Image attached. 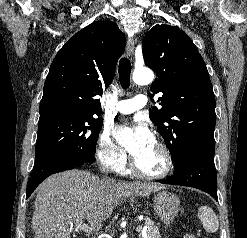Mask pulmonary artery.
I'll return each instance as SVG.
<instances>
[{
  "mask_svg": "<svg viewBox=\"0 0 247 238\" xmlns=\"http://www.w3.org/2000/svg\"><path fill=\"white\" fill-rule=\"evenodd\" d=\"M147 104V97L145 95L139 94L131 99L121 100L116 103L114 109L116 112L122 114H131Z\"/></svg>",
  "mask_w": 247,
  "mask_h": 238,
  "instance_id": "1",
  "label": "pulmonary artery"
}]
</instances>
